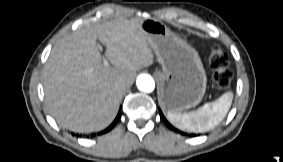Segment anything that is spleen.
I'll return each instance as SVG.
<instances>
[{"label":"spleen","mask_w":283,"mask_h":162,"mask_svg":"<svg viewBox=\"0 0 283 162\" xmlns=\"http://www.w3.org/2000/svg\"><path fill=\"white\" fill-rule=\"evenodd\" d=\"M233 93L226 92L216 101L206 103L196 111L181 113L168 111V120L177 128L194 133L206 132L217 126L228 113Z\"/></svg>","instance_id":"1"}]
</instances>
